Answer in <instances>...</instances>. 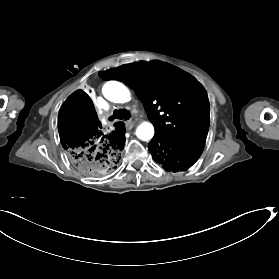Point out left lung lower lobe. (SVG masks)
Wrapping results in <instances>:
<instances>
[{
    "label": "left lung lower lobe",
    "mask_w": 279,
    "mask_h": 279,
    "mask_svg": "<svg viewBox=\"0 0 279 279\" xmlns=\"http://www.w3.org/2000/svg\"><path fill=\"white\" fill-rule=\"evenodd\" d=\"M204 145L200 143H174L152 139L148 145L155 162L162 164L167 171H185L200 157Z\"/></svg>",
    "instance_id": "0a47b994"
}]
</instances>
